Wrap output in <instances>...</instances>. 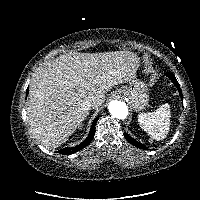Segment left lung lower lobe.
<instances>
[{"mask_svg": "<svg viewBox=\"0 0 200 200\" xmlns=\"http://www.w3.org/2000/svg\"><path fill=\"white\" fill-rule=\"evenodd\" d=\"M166 76L169 77V79L174 83V85L177 87L178 91H179V94L182 98V92H181V88H180V85L178 83V81L176 80L174 74L172 73H166ZM124 136L125 138L127 139V141L129 143H131L132 145L136 146L137 148H141V149H144V150H147V148L140 142L136 141L135 139H133L132 137H130L127 133H124Z\"/></svg>", "mask_w": 200, "mask_h": 200, "instance_id": "left-lung-lower-lobe-1", "label": "left lung lower lobe"}]
</instances>
